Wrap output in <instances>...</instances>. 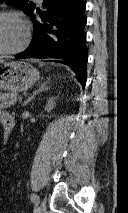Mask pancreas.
I'll list each match as a JSON object with an SVG mask.
<instances>
[{
	"mask_svg": "<svg viewBox=\"0 0 128 213\" xmlns=\"http://www.w3.org/2000/svg\"><path fill=\"white\" fill-rule=\"evenodd\" d=\"M19 100L17 93H0V108H10Z\"/></svg>",
	"mask_w": 128,
	"mask_h": 213,
	"instance_id": "pancreas-1",
	"label": "pancreas"
}]
</instances>
